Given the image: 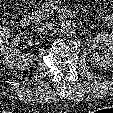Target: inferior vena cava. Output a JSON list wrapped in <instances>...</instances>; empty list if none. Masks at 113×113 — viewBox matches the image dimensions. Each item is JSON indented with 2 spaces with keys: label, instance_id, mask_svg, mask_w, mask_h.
Returning a JSON list of instances; mask_svg holds the SVG:
<instances>
[{
  "label": "inferior vena cava",
  "instance_id": "602c4592",
  "mask_svg": "<svg viewBox=\"0 0 113 113\" xmlns=\"http://www.w3.org/2000/svg\"><path fill=\"white\" fill-rule=\"evenodd\" d=\"M54 23L53 22H45L41 23L40 27L38 28L39 33H47L54 29Z\"/></svg>",
  "mask_w": 113,
  "mask_h": 113
}]
</instances>
